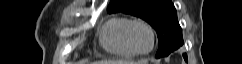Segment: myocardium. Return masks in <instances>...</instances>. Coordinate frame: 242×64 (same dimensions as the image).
Segmentation results:
<instances>
[{"label":"myocardium","instance_id":"f54148a6","mask_svg":"<svg viewBox=\"0 0 242 64\" xmlns=\"http://www.w3.org/2000/svg\"><path fill=\"white\" fill-rule=\"evenodd\" d=\"M138 25L144 26L149 31V33L151 35L152 45H151L150 49L147 50V51H140V50H138L137 47L135 46L134 42H133V39H132V31H133L134 27H136ZM126 40H127V43L129 45V47L137 55H147V54L151 53L154 50V48H155V45H156V33H155V30L152 27V25L149 22H147L146 20H143V19H134V20H132L130 22V24L127 27V30H126Z\"/></svg>","mask_w":242,"mask_h":64}]
</instances>
